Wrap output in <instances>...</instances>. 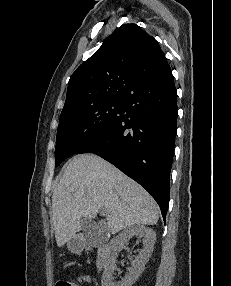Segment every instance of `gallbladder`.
Masks as SVG:
<instances>
[{"label": "gallbladder", "mask_w": 231, "mask_h": 286, "mask_svg": "<svg viewBox=\"0 0 231 286\" xmlns=\"http://www.w3.org/2000/svg\"><path fill=\"white\" fill-rule=\"evenodd\" d=\"M80 226L86 234L99 233V228H97V223L91 216H86V217L81 218Z\"/></svg>", "instance_id": "bac80fb5"}]
</instances>
